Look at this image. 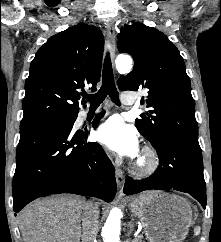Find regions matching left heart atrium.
<instances>
[{"mask_svg":"<svg viewBox=\"0 0 221 242\" xmlns=\"http://www.w3.org/2000/svg\"><path fill=\"white\" fill-rule=\"evenodd\" d=\"M97 139L118 154L134 157L138 153L137 132L120 116H112L101 124L97 130Z\"/></svg>","mask_w":221,"mask_h":242,"instance_id":"obj_1","label":"left heart atrium"}]
</instances>
